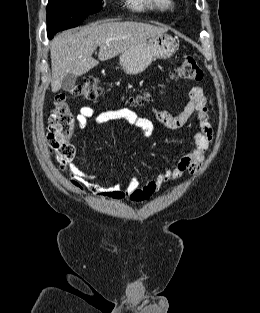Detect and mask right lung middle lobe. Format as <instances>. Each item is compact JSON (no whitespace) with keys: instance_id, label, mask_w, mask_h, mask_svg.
<instances>
[{"instance_id":"1","label":"right lung middle lobe","mask_w":260,"mask_h":313,"mask_svg":"<svg viewBox=\"0 0 260 313\" xmlns=\"http://www.w3.org/2000/svg\"><path fill=\"white\" fill-rule=\"evenodd\" d=\"M102 8V0H49L47 5V33H55L78 26L89 14Z\"/></svg>"}]
</instances>
